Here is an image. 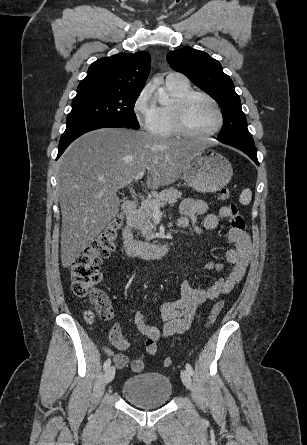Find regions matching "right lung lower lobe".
Segmentation results:
<instances>
[{
  "instance_id": "obj_1",
  "label": "right lung lower lobe",
  "mask_w": 307,
  "mask_h": 445,
  "mask_svg": "<svg viewBox=\"0 0 307 445\" xmlns=\"http://www.w3.org/2000/svg\"><path fill=\"white\" fill-rule=\"evenodd\" d=\"M107 127H123V126L107 122H89L66 127V130L62 134L60 139L58 155L56 159H58L65 151V149L79 136L95 129L107 128Z\"/></svg>"
}]
</instances>
